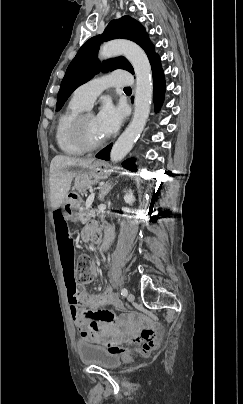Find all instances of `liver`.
Returning <instances> with one entry per match:
<instances>
[{"label": "liver", "mask_w": 243, "mask_h": 404, "mask_svg": "<svg viewBox=\"0 0 243 404\" xmlns=\"http://www.w3.org/2000/svg\"><path fill=\"white\" fill-rule=\"evenodd\" d=\"M94 158H70L55 156L50 164L49 186L51 208L56 210L63 204L70 190L71 182L77 172L71 168H88Z\"/></svg>", "instance_id": "liver-1"}]
</instances>
